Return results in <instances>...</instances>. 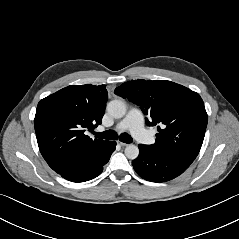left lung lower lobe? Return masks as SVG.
<instances>
[{
    "instance_id": "left-lung-lower-lobe-1",
    "label": "left lung lower lobe",
    "mask_w": 239,
    "mask_h": 239,
    "mask_svg": "<svg viewBox=\"0 0 239 239\" xmlns=\"http://www.w3.org/2000/svg\"><path fill=\"white\" fill-rule=\"evenodd\" d=\"M132 165L143 179L164 182L182 174L190 164L140 144L139 156L132 162Z\"/></svg>"
}]
</instances>
